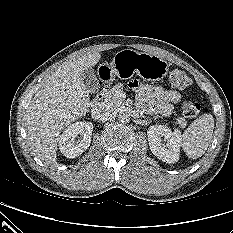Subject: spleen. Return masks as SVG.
I'll return each instance as SVG.
<instances>
[{
	"instance_id": "spleen-1",
	"label": "spleen",
	"mask_w": 233,
	"mask_h": 233,
	"mask_svg": "<svg viewBox=\"0 0 233 233\" xmlns=\"http://www.w3.org/2000/svg\"><path fill=\"white\" fill-rule=\"evenodd\" d=\"M214 130V118L204 114L192 122L183 133L181 146L189 158L197 159L207 150Z\"/></svg>"
}]
</instances>
